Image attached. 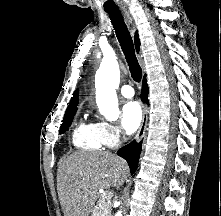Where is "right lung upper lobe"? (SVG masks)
Returning <instances> with one entry per match:
<instances>
[{
    "label": "right lung upper lobe",
    "mask_w": 221,
    "mask_h": 216,
    "mask_svg": "<svg viewBox=\"0 0 221 216\" xmlns=\"http://www.w3.org/2000/svg\"><path fill=\"white\" fill-rule=\"evenodd\" d=\"M135 46H136V49L138 51L139 46H140V42H139L137 33H135ZM77 105H78V90H76L74 92L73 97L71 98V101H70V103L67 107L66 114L76 112L77 111Z\"/></svg>",
    "instance_id": "right-lung-upper-lobe-1"
}]
</instances>
